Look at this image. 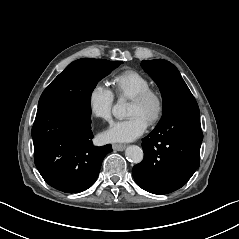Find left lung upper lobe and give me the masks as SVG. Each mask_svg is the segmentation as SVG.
Listing matches in <instances>:
<instances>
[{
	"label": "left lung upper lobe",
	"mask_w": 239,
	"mask_h": 239,
	"mask_svg": "<svg viewBox=\"0 0 239 239\" xmlns=\"http://www.w3.org/2000/svg\"><path fill=\"white\" fill-rule=\"evenodd\" d=\"M144 70L157 83L163 99V119L173 110L191 104H197L184 82L178 69L163 59L142 61Z\"/></svg>",
	"instance_id": "obj_1"
}]
</instances>
